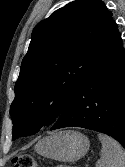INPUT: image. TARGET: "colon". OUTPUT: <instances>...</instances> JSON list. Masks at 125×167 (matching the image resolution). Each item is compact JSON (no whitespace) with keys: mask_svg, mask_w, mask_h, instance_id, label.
<instances>
[{"mask_svg":"<svg viewBox=\"0 0 125 167\" xmlns=\"http://www.w3.org/2000/svg\"><path fill=\"white\" fill-rule=\"evenodd\" d=\"M12 160L13 167H37L35 159L30 154H18Z\"/></svg>","mask_w":125,"mask_h":167,"instance_id":"colon-1","label":"colon"}]
</instances>
